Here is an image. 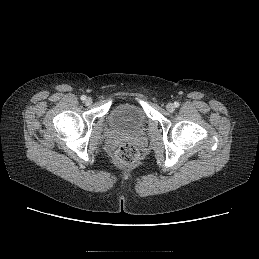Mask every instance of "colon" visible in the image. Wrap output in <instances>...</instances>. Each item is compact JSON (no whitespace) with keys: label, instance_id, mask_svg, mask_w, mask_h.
I'll return each mask as SVG.
<instances>
[{"label":"colon","instance_id":"5ec220e1","mask_svg":"<svg viewBox=\"0 0 259 259\" xmlns=\"http://www.w3.org/2000/svg\"><path fill=\"white\" fill-rule=\"evenodd\" d=\"M138 157V148L130 142H122L114 153L115 161L121 166H132Z\"/></svg>","mask_w":259,"mask_h":259}]
</instances>
